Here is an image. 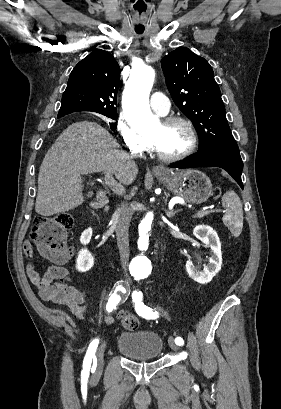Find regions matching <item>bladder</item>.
Segmentation results:
<instances>
[{
	"label": "bladder",
	"mask_w": 281,
	"mask_h": 409,
	"mask_svg": "<svg viewBox=\"0 0 281 409\" xmlns=\"http://www.w3.org/2000/svg\"><path fill=\"white\" fill-rule=\"evenodd\" d=\"M115 349L131 361H154L163 355L164 338L150 329H121L115 340Z\"/></svg>",
	"instance_id": "obj_1"
}]
</instances>
